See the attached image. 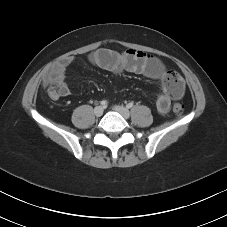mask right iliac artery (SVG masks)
<instances>
[{"label": "right iliac artery", "instance_id": "82829eb1", "mask_svg": "<svg viewBox=\"0 0 227 227\" xmlns=\"http://www.w3.org/2000/svg\"><path fill=\"white\" fill-rule=\"evenodd\" d=\"M100 104L103 105V106H106L107 105V101L103 100V101L100 102Z\"/></svg>", "mask_w": 227, "mask_h": 227}]
</instances>
